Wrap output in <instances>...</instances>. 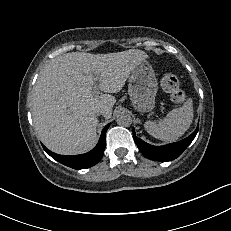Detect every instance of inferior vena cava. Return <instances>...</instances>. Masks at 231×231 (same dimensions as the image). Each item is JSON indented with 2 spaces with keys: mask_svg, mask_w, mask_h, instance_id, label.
Returning <instances> with one entry per match:
<instances>
[{
  "mask_svg": "<svg viewBox=\"0 0 231 231\" xmlns=\"http://www.w3.org/2000/svg\"><path fill=\"white\" fill-rule=\"evenodd\" d=\"M101 114H103V109H99V110L96 111V115H97V116H98V115H101Z\"/></svg>",
  "mask_w": 231,
  "mask_h": 231,
  "instance_id": "obj_1",
  "label": "inferior vena cava"
}]
</instances>
